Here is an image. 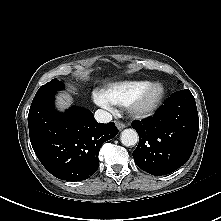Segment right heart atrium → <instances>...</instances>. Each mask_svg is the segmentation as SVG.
Instances as JSON below:
<instances>
[{
    "label": "right heart atrium",
    "mask_w": 221,
    "mask_h": 221,
    "mask_svg": "<svg viewBox=\"0 0 221 221\" xmlns=\"http://www.w3.org/2000/svg\"><path fill=\"white\" fill-rule=\"evenodd\" d=\"M92 96H93L94 102L97 105H99V106H101V107H103V108H105V109H107L109 111L112 110L111 103L104 97L102 92L94 91Z\"/></svg>",
    "instance_id": "obj_1"
}]
</instances>
